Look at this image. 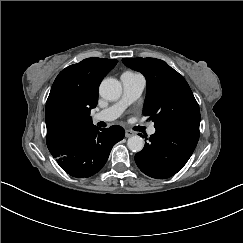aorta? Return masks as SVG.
I'll use <instances>...</instances> for the list:
<instances>
[{"mask_svg":"<svg viewBox=\"0 0 243 243\" xmlns=\"http://www.w3.org/2000/svg\"><path fill=\"white\" fill-rule=\"evenodd\" d=\"M100 96L108 101L118 100L122 94L121 83L114 79H104L99 87ZM128 148L133 152H139L144 147L143 139L138 135L130 136L127 140Z\"/></svg>","mask_w":243,"mask_h":243,"instance_id":"aorta-1","label":"aorta"}]
</instances>
